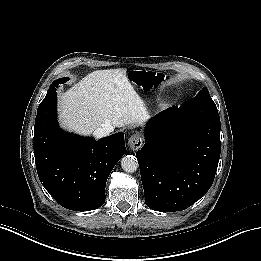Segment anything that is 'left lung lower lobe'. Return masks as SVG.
I'll return each instance as SVG.
<instances>
[{"label":"left lung lower lobe","mask_w":261,"mask_h":261,"mask_svg":"<svg viewBox=\"0 0 261 261\" xmlns=\"http://www.w3.org/2000/svg\"><path fill=\"white\" fill-rule=\"evenodd\" d=\"M145 139L136 156L149 208L181 211L205 195L221 151L216 106L192 100L169 108L147 124Z\"/></svg>","instance_id":"0a47b994"}]
</instances>
